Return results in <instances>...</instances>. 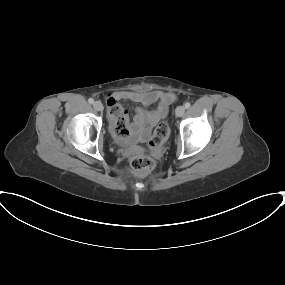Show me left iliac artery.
<instances>
[{
    "label": "left iliac artery",
    "instance_id": "obj_1",
    "mask_svg": "<svg viewBox=\"0 0 285 285\" xmlns=\"http://www.w3.org/2000/svg\"><path fill=\"white\" fill-rule=\"evenodd\" d=\"M184 106L186 109H188V108H190L191 104L189 102H186Z\"/></svg>",
    "mask_w": 285,
    "mask_h": 285
}]
</instances>
